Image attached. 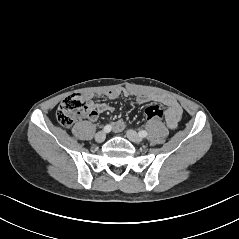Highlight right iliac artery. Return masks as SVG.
<instances>
[{
	"mask_svg": "<svg viewBox=\"0 0 239 239\" xmlns=\"http://www.w3.org/2000/svg\"><path fill=\"white\" fill-rule=\"evenodd\" d=\"M111 129H112L111 125H106L103 130L104 132L109 133Z\"/></svg>",
	"mask_w": 239,
	"mask_h": 239,
	"instance_id": "82829eb1",
	"label": "right iliac artery"
}]
</instances>
